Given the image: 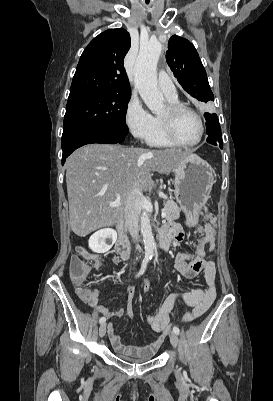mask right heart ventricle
Returning a JSON list of instances; mask_svg holds the SVG:
<instances>
[{
    "instance_id": "1",
    "label": "right heart ventricle",
    "mask_w": 273,
    "mask_h": 401,
    "mask_svg": "<svg viewBox=\"0 0 273 401\" xmlns=\"http://www.w3.org/2000/svg\"><path fill=\"white\" fill-rule=\"evenodd\" d=\"M168 101L170 103H178L179 102L177 96L174 98H171V99L168 98ZM146 142L150 146H154V147H170V148L178 147V145H176L175 143H173L166 137L164 130L162 128L159 116L154 117L153 129H152L150 135L146 138Z\"/></svg>"
}]
</instances>
